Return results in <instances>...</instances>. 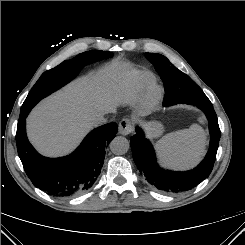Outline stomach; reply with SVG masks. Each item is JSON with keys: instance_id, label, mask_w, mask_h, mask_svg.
Segmentation results:
<instances>
[{"instance_id": "stomach-1", "label": "stomach", "mask_w": 245, "mask_h": 245, "mask_svg": "<svg viewBox=\"0 0 245 245\" xmlns=\"http://www.w3.org/2000/svg\"><path fill=\"white\" fill-rule=\"evenodd\" d=\"M148 131L151 138L160 137L164 131L163 125L159 122L148 123Z\"/></svg>"}]
</instances>
